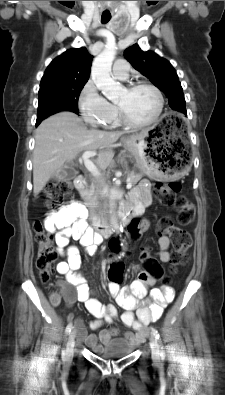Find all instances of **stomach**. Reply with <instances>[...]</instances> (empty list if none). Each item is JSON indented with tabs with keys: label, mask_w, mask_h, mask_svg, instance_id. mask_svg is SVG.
Segmentation results:
<instances>
[{
	"label": "stomach",
	"mask_w": 225,
	"mask_h": 395,
	"mask_svg": "<svg viewBox=\"0 0 225 395\" xmlns=\"http://www.w3.org/2000/svg\"><path fill=\"white\" fill-rule=\"evenodd\" d=\"M159 127L154 125L141 133L128 136L123 139V143L134 155L136 167L149 178H181L188 168L182 148L174 151L170 136L159 130Z\"/></svg>",
	"instance_id": "stomach-1"
}]
</instances>
